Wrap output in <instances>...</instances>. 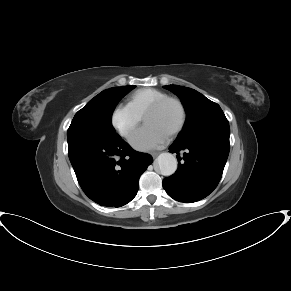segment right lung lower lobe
<instances>
[{
	"label": "right lung lower lobe",
	"instance_id": "98d812e1",
	"mask_svg": "<svg viewBox=\"0 0 291 291\" xmlns=\"http://www.w3.org/2000/svg\"><path fill=\"white\" fill-rule=\"evenodd\" d=\"M68 155L84 193L103 206L120 207L137 194L138 179L152 163L148 154L134 151L120 137L67 139Z\"/></svg>",
	"mask_w": 291,
	"mask_h": 291
}]
</instances>
